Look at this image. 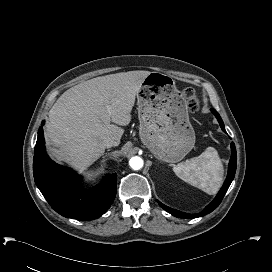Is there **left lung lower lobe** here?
Wrapping results in <instances>:
<instances>
[{
  "label": "left lung lower lobe",
  "instance_id": "obj_1",
  "mask_svg": "<svg viewBox=\"0 0 272 272\" xmlns=\"http://www.w3.org/2000/svg\"><path fill=\"white\" fill-rule=\"evenodd\" d=\"M211 111L216 116L222 130L224 132H226L225 128H224V123H223L220 115L218 114V112L215 109H211ZM231 150H232V155H231V159H230V162H229V170H228L227 178H226L221 190L219 191V193L215 197V199L208 206H206V208L202 212H200L198 214H187V213L180 212L178 210L172 209V208H170L168 206H165L161 202H158L159 205L164 210H166L167 212L172 214L173 216L180 217V218H197V217H200V216H203V215H206V214L212 212L220 204V202L222 201L226 191L228 190V188H229V186H230V184H231V182H232V180H233V178L235 176L237 156H236L235 145H234L233 142L231 143Z\"/></svg>",
  "mask_w": 272,
  "mask_h": 272
}]
</instances>
